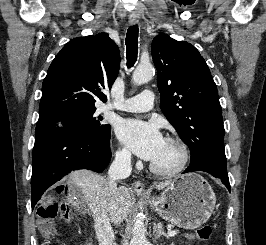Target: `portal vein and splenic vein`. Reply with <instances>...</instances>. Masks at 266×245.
Instances as JSON below:
<instances>
[{"instance_id":"1","label":"portal vein and splenic vein","mask_w":266,"mask_h":245,"mask_svg":"<svg viewBox=\"0 0 266 245\" xmlns=\"http://www.w3.org/2000/svg\"><path fill=\"white\" fill-rule=\"evenodd\" d=\"M175 235H177V233H175V231H168V233H167V237H175Z\"/></svg>"}]
</instances>
